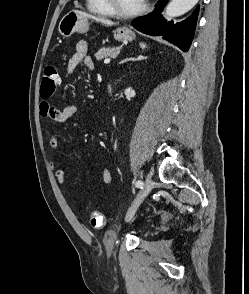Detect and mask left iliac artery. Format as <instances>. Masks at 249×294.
Segmentation results:
<instances>
[{
    "label": "left iliac artery",
    "mask_w": 249,
    "mask_h": 294,
    "mask_svg": "<svg viewBox=\"0 0 249 294\" xmlns=\"http://www.w3.org/2000/svg\"><path fill=\"white\" fill-rule=\"evenodd\" d=\"M135 186L137 187V188H143V182L141 181V180H137L136 181V183H135Z\"/></svg>",
    "instance_id": "1"
}]
</instances>
